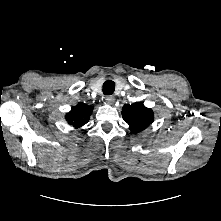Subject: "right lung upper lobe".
Here are the masks:
<instances>
[{"instance_id": "cb5924a9", "label": "right lung upper lobe", "mask_w": 221, "mask_h": 221, "mask_svg": "<svg viewBox=\"0 0 221 221\" xmlns=\"http://www.w3.org/2000/svg\"><path fill=\"white\" fill-rule=\"evenodd\" d=\"M92 111V106L79 103L77 106L71 108V111L66 115V119L69 124L79 128L88 122Z\"/></svg>"}]
</instances>
